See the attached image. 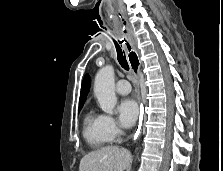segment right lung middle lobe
Instances as JSON below:
<instances>
[{
    "label": "right lung middle lobe",
    "mask_w": 223,
    "mask_h": 171,
    "mask_svg": "<svg viewBox=\"0 0 223 171\" xmlns=\"http://www.w3.org/2000/svg\"><path fill=\"white\" fill-rule=\"evenodd\" d=\"M81 108H82V106H79V111H80Z\"/></svg>",
    "instance_id": "1"
}]
</instances>
